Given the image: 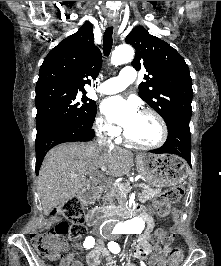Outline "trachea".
Wrapping results in <instances>:
<instances>
[{
	"instance_id": "obj_1",
	"label": "trachea",
	"mask_w": 221,
	"mask_h": 266,
	"mask_svg": "<svg viewBox=\"0 0 221 266\" xmlns=\"http://www.w3.org/2000/svg\"><path fill=\"white\" fill-rule=\"evenodd\" d=\"M113 27H108L103 35V53L106 57L109 56L111 49H112V44H113Z\"/></svg>"
}]
</instances>
